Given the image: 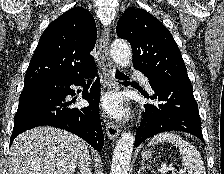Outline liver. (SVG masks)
<instances>
[{
	"label": "liver",
	"mask_w": 224,
	"mask_h": 174,
	"mask_svg": "<svg viewBox=\"0 0 224 174\" xmlns=\"http://www.w3.org/2000/svg\"><path fill=\"white\" fill-rule=\"evenodd\" d=\"M87 143L54 127L30 129L13 141L8 174H74Z\"/></svg>",
	"instance_id": "1"
}]
</instances>
